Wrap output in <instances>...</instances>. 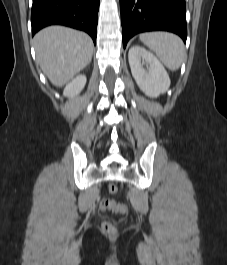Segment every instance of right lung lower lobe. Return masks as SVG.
Masks as SVG:
<instances>
[{"label": "right lung lower lobe", "instance_id": "right-lung-lower-lobe-1", "mask_svg": "<svg viewBox=\"0 0 227 265\" xmlns=\"http://www.w3.org/2000/svg\"><path fill=\"white\" fill-rule=\"evenodd\" d=\"M99 0H33L32 36L40 29L60 24L87 32L96 44Z\"/></svg>", "mask_w": 227, "mask_h": 265}]
</instances>
